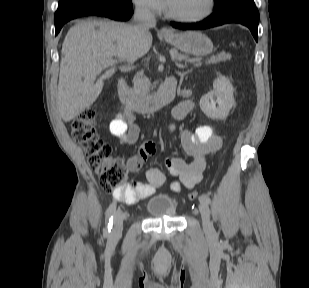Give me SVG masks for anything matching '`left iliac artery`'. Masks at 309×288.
<instances>
[{
  "mask_svg": "<svg viewBox=\"0 0 309 288\" xmlns=\"http://www.w3.org/2000/svg\"><path fill=\"white\" fill-rule=\"evenodd\" d=\"M199 200H200V201H204V202H206L207 204H209V203L211 202L209 196L206 195V194L200 196Z\"/></svg>",
  "mask_w": 309,
  "mask_h": 288,
  "instance_id": "1",
  "label": "left iliac artery"
}]
</instances>
